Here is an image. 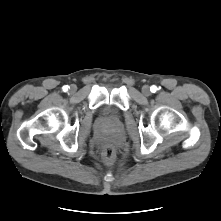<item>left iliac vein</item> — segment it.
Listing matches in <instances>:
<instances>
[{
    "label": "left iliac vein",
    "mask_w": 221,
    "mask_h": 221,
    "mask_svg": "<svg viewBox=\"0 0 221 221\" xmlns=\"http://www.w3.org/2000/svg\"><path fill=\"white\" fill-rule=\"evenodd\" d=\"M142 93H143L144 96H149L151 94L150 88H149L148 85H144L142 87Z\"/></svg>",
    "instance_id": "obj_1"
}]
</instances>
